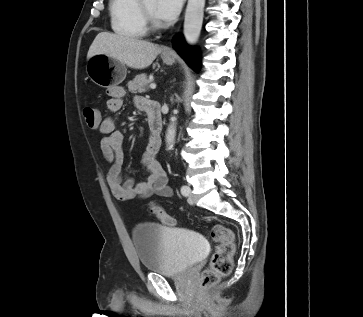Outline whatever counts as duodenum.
Instances as JSON below:
<instances>
[{
	"instance_id": "duodenum-1",
	"label": "duodenum",
	"mask_w": 363,
	"mask_h": 317,
	"mask_svg": "<svg viewBox=\"0 0 363 317\" xmlns=\"http://www.w3.org/2000/svg\"><path fill=\"white\" fill-rule=\"evenodd\" d=\"M146 111L149 124V143L150 145L159 148L162 142L163 128L160 104L158 102L148 101Z\"/></svg>"
}]
</instances>
